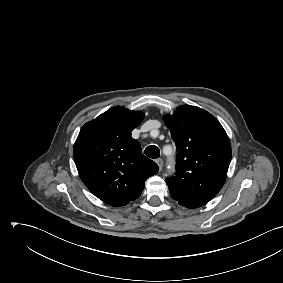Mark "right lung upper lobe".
Here are the masks:
<instances>
[{
	"label": "right lung upper lobe",
	"instance_id": "1",
	"mask_svg": "<svg viewBox=\"0 0 283 283\" xmlns=\"http://www.w3.org/2000/svg\"><path fill=\"white\" fill-rule=\"evenodd\" d=\"M143 118L140 111L113 107L86 123L74 144V160L81 180L110 206H124L137 199L146 179L159 170L131 137Z\"/></svg>",
	"mask_w": 283,
	"mask_h": 283
}]
</instances>
